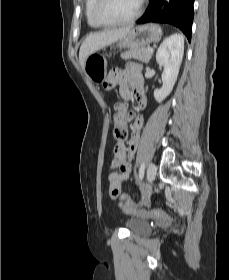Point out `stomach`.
<instances>
[{
	"mask_svg": "<svg viewBox=\"0 0 229 280\" xmlns=\"http://www.w3.org/2000/svg\"><path fill=\"white\" fill-rule=\"evenodd\" d=\"M161 29L155 24H145L133 28L116 46L119 48H143L159 39ZM83 70L88 78L96 83L103 82L107 75V59L98 54L89 55L83 64Z\"/></svg>",
	"mask_w": 229,
	"mask_h": 280,
	"instance_id": "1",
	"label": "stomach"
}]
</instances>
